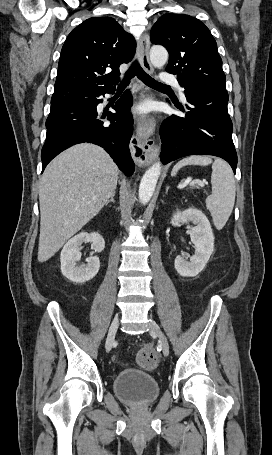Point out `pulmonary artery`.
<instances>
[{"label": "pulmonary artery", "instance_id": "1", "mask_svg": "<svg viewBox=\"0 0 272 455\" xmlns=\"http://www.w3.org/2000/svg\"><path fill=\"white\" fill-rule=\"evenodd\" d=\"M160 81L164 84H171V85L176 86L178 88L182 98H184L183 88L180 86V84L175 76H173L169 73H162L160 76Z\"/></svg>", "mask_w": 272, "mask_h": 455}]
</instances>
